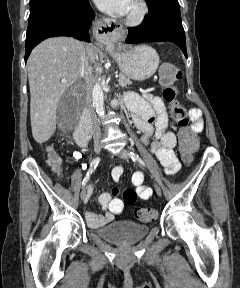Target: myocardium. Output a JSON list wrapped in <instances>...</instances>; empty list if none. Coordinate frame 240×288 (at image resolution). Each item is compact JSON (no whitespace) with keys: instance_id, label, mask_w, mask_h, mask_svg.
Segmentation results:
<instances>
[{"instance_id":"f54148a6","label":"myocardium","mask_w":240,"mask_h":288,"mask_svg":"<svg viewBox=\"0 0 240 288\" xmlns=\"http://www.w3.org/2000/svg\"><path fill=\"white\" fill-rule=\"evenodd\" d=\"M132 3L135 6V10L128 13L125 19V23L131 27L140 26L144 23L148 16V3L146 2V0H134Z\"/></svg>"}]
</instances>
